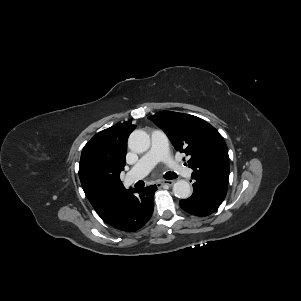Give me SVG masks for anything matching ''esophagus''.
I'll use <instances>...</instances> for the list:
<instances>
[{
	"label": "esophagus",
	"instance_id": "obj_1",
	"mask_svg": "<svg viewBox=\"0 0 301 301\" xmlns=\"http://www.w3.org/2000/svg\"><path fill=\"white\" fill-rule=\"evenodd\" d=\"M174 184V180H163L157 182V186L161 187L163 185L172 186Z\"/></svg>",
	"mask_w": 301,
	"mask_h": 301
}]
</instances>
